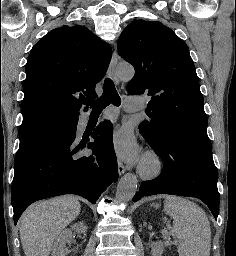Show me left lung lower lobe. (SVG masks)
Here are the masks:
<instances>
[{
    "label": "left lung lower lobe",
    "mask_w": 236,
    "mask_h": 256,
    "mask_svg": "<svg viewBox=\"0 0 236 256\" xmlns=\"http://www.w3.org/2000/svg\"><path fill=\"white\" fill-rule=\"evenodd\" d=\"M147 142L165 162L164 169L157 179L142 182L133 201L156 194L196 197L209 207L217 220L220 197L211 144L170 134L165 135L159 145Z\"/></svg>",
    "instance_id": "1"
}]
</instances>
